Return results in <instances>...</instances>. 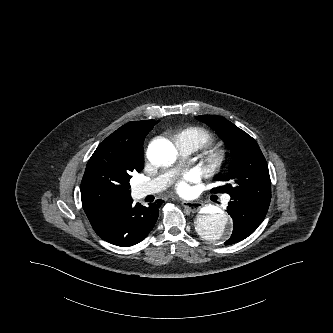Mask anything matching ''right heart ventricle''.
I'll return each mask as SVG.
<instances>
[{"mask_svg": "<svg viewBox=\"0 0 333 333\" xmlns=\"http://www.w3.org/2000/svg\"><path fill=\"white\" fill-rule=\"evenodd\" d=\"M177 138L192 139L198 145H207L213 141V137L209 132L199 128L184 129L178 133Z\"/></svg>", "mask_w": 333, "mask_h": 333, "instance_id": "e07e8e85", "label": "right heart ventricle"}]
</instances>
